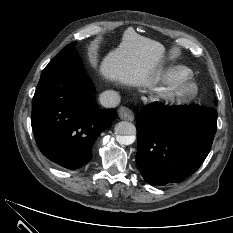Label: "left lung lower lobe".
<instances>
[{"instance_id": "obj_1", "label": "left lung lower lobe", "mask_w": 233, "mask_h": 233, "mask_svg": "<svg viewBox=\"0 0 233 233\" xmlns=\"http://www.w3.org/2000/svg\"><path fill=\"white\" fill-rule=\"evenodd\" d=\"M137 168L155 186L182 181L207 157L217 130V112L193 105H147L136 121Z\"/></svg>"}]
</instances>
